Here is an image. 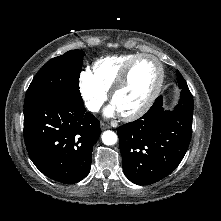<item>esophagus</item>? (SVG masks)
<instances>
[{
	"label": "esophagus",
	"mask_w": 221,
	"mask_h": 221,
	"mask_svg": "<svg viewBox=\"0 0 221 221\" xmlns=\"http://www.w3.org/2000/svg\"><path fill=\"white\" fill-rule=\"evenodd\" d=\"M101 130H106V129H109L110 126L108 124H105V123H101Z\"/></svg>",
	"instance_id": "34e87169"
}]
</instances>
